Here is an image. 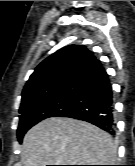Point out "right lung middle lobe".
<instances>
[{"mask_svg": "<svg viewBox=\"0 0 135 166\" xmlns=\"http://www.w3.org/2000/svg\"><path fill=\"white\" fill-rule=\"evenodd\" d=\"M71 99L70 86H64L40 98L21 104L17 130L18 141H22L24 134L32 126L66 109Z\"/></svg>", "mask_w": 135, "mask_h": 166, "instance_id": "dd1d6c3e", "label": "right lung middle lobe"}]
</instances>
